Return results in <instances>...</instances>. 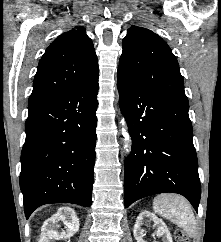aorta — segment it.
Segmentation results:
<instances>
[{"instance_id": "762f6f07", "label": "aorta", "mask_w": 221, "mask_h": 242, "mask_svg": "<svg viewBox=\"0 0 221 242\" xmlns=\"http://www.w3.org/2000/svg\"><path fill=\"white\" fill-rule=\"evenodd\" d=\"M125 135L127 136V134H125ZM124 147H125V148H127L128 146H127V145H125Z\"/></svg>"}]
</instances>
